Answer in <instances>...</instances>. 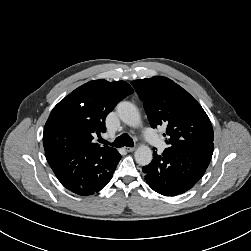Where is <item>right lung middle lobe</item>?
<instances>
[{"label":"right lung middle lobe","instance_id":"right-lung-middle-lobe-1","mask_svg":"<svg viewBox=\"0 0 251 251\" xmlns=\"http://www.w3.org/2000/svg\"><path fill=\"white\" fill-rule=\"evenodd\" d=\"M72 135L67 130H57L51 134V145L53 148L71 147Z\"/></svg>","mask_w":251,"mask_h":251}]
</instances>
